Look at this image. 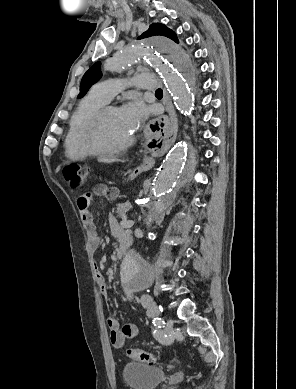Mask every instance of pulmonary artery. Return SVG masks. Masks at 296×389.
<instances>
[{
  "label": "pulmonary artery",
  "instance_id": "1",
  "mask_svg": "<svg viewBox=\"0 0 296 389\" xmlns=\"http://www.w3.org/2000/svg\"><path fill=\"white\" fill-rule=\"evenodd\" d=\"M156 81L153 75L145 74L131 77L129 79H110L93 85L91 92L109 102L115 95L125 87L131 85L143 89H154Z\"/></svg>",
  "mask_w": 296,
  "mask_h": 389
}]
</instances>
